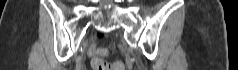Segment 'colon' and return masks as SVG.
Listing matches in <instances>:
<instances>
[{
	"label": "colon",
	"instance_id": "5ec220e1",
	"mask_svg": "<svg viewBox=\"0 0 238 70\" xmlns=\"http://www.w3.org/2000/svg\"><path fill=\"white\" fill-rule=\"evenodd\" d=\"M92 56V66L95 70H124L121 62L107 63L103 57L106 56L107 50L102 47H93L89 51Z\"/></svg>",
	"mask_w": 238,
	"mask_h": 70
}]
</instances>
